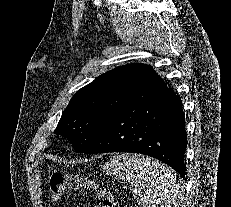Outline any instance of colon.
<instances>
[{
    "mask_svg": "<svg viewBox=\"0 0 231 207\" xmlns=\"http://www.w3.org/2000/svg\"><path fill=\"white\" fill-rule=\"evenodd\" d=\"M79 187L87 189L95 198L100 199V207H117L111 193L93 178L63 172H54L50 177V190L55 201L62 199L67 188Z\"/></svg>",
    "mask_w": 231,
    "mask_h": 207,
    "instance_id": "obj_1",
    "label": "colon"
}]
</instances>
